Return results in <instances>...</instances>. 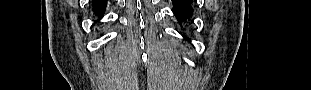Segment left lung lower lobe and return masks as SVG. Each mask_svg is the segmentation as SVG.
Listing matches in <instances>:
<instances>
[{
    "label": "left lung lower lobe",
    "instance_id": "obj_1",
    "mask_svg": "<svg viewBox=\"0 0 311 90\" xmlns=\"http://www.w3.org/2000/svg\"><path fill=\"white\" fill-rule=\"evenodd\" d=\"M173 13L177 19L181 22L186 19H190L192 15V8L190 7L191 0H172Z\"/></svg>",
    "mask_w": 311,
    "mask_h": 90
}]
</instances>
